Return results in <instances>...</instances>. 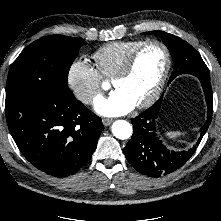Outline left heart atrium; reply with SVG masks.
<instances>
[{
	"label": "left heart atrium",
	"mask_w": 221,
	"mask_h": 221,
	"mask_svg": "<svg viewBox=\"0 0 221 221\" xmlns=\"http://www.w3.org/2000/svg\"><path fill=\"white\" fill-rule=\"evenodd\" d=\"M136 104L122 90L116 89L108 97L96 99L94 109L103 116H119L131 111Z\"/></svg>",
	"instance_id": "1"
}]
</instances>
